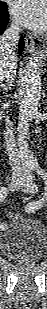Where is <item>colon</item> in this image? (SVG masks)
I'll use <instances>...</instances> for the list:
<instances>
[{"label":"colon","instance_id":"5ec220e1","mask_svg":"<svg viewBox=\"0 0 47 309\" xmlns=\"http://www.w3.org/2000/svg\"><path fill=\"white\" fill-rule=\"evenodd\" d=\"M9 217L12 219V220H16L19 218V215L16 214V213H9Z\"/></svg>","mask_w":47,"mask_h":309}]
</instances>
